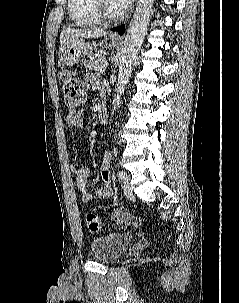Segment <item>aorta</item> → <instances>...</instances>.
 I'll use <instances>...</instances> for the list:
<instances>
[{"label": "aorta", "mask_w": 239, "mask_h": 303, "mask_svg": "<svg viewBox=\"0 0 239 303\" xmlns=\"http://www.w3.org/2000/svg\"><path fill=\"white\" fill-rule=\"evenodd\" d=\"M154 0H138L135 13L127 30L122 54L119 59V72L113 110L120 108L121 95L129 82L133 63L147 33Z\"/></svg>", "instance_id": "762f6f07"}]
</instances>
